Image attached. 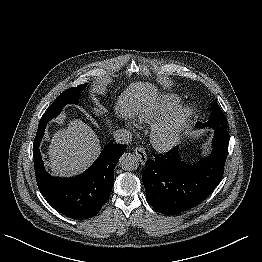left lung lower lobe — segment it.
Masks as SVG:
<instances>
[{
	"mask_svg": "<svg viewBox=\"0 0 262 262\" xmlns=\"http://www.w3.org/2000/svg\"><path fill=\"white\" fill-rule=\"evenodd\" d=\"M213 150L196 164H185L178 148L148 160L142 174L147 200L163 214L184 212L201 203L222 179L230 136L214 128Z\"/></svg>",
	"mask_w": 262,
	"mask_h": 262,
	"instance_id": "0a47b994",
	"label": "left lung lower lobe"
}]
</instances>
